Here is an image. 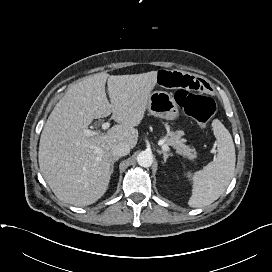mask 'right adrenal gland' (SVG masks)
Here are the masks:
<instances>
[{"label": "right adrenal gland", "instance_id": "2a0ac1e0", "mask_svg": "<svg viewBox=\"0 0 272 272\" xmlns=\"http://www.w3.org/2000/svg\"><path fill=\"white\" fill-rule=\"evenodd\" d=\"M117 160H119V157H115V158H113L112 161H111V168H110L111 174H113V172H114V163H115Z\"/></svg>", "mask_w": 272, "mask_h": 272}]
</instances>
